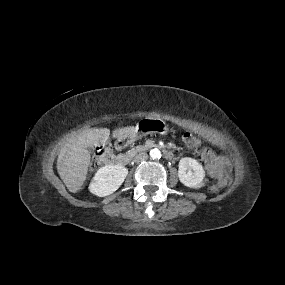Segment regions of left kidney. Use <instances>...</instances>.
Listing matches in <instances>:
<instances>
[{"label": "left kidney", "instance_id": "1", "mask_svg": "<svg viewBox=\"0 0 285 285\" xmlns=\"http://www.w3.org/2000/svg\"><path fill=\"white\" fill-rule=\"evenodd\" d=\"M205 172L195 159L184 157L179 162L178 177L181 183L190 188H200Z\"/></svg>", "mask_w": 285, "mask_h": 285}]
</instances>
